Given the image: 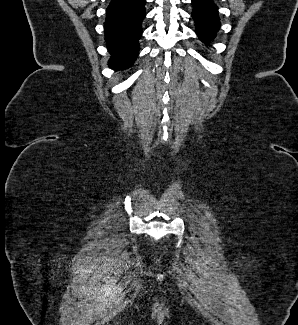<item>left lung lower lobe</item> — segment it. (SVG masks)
I'll list each match as a JSON object with an SVG mask.
<instances>
[{
    "label": "left lung lower lobe",
    "mask_w": 298,
    "mask_h": 325,
    "mask_svg": "<svg viewBox=\"0 0 298 325\" xmlns=\"http://www.w3.org/2000/svg\"><path fill=\"white\" fill-rule=\"evenodd\" d=\"M192 18L195 21L196 33L204 43H209L216 36L220 27L218 8L213 0H191Z\"/></svg>",
    "instance_id": "1"
}]
</instances>
